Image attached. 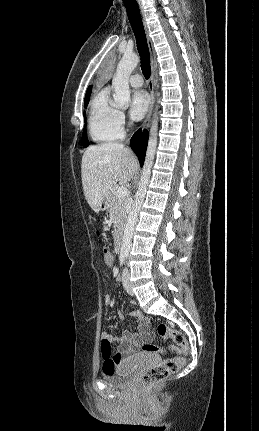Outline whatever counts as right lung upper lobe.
I'll return each instance as SVG.
<instances>
[{
  "label": "right lung upper lobe",
  "mask_w": 259,
  "mask_h": 431,
  "mask_svg": "<svg viewBox=\"0 0 259 431\" xmlns=\"http://www.w3.org/2000/svg\"><path fill=\"white\" fill-rule=\"evenodd\" d=\"M91 89H92V87H91V86H89V88H88V90H87L86 94L91 93Z\"/></svg>",
  "instance_id": "1"
}]
</instances>
